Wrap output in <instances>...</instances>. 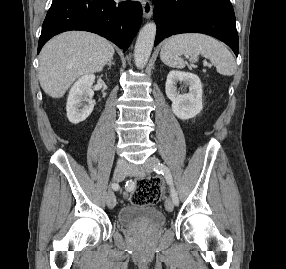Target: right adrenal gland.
Returning <instances> with one entry per match:
<instances>
[{
	"mask_svg": "<svg viewBox=\"0 0 286 269\" xmlns=\"http://www.w3.org/2000/svg\"><path fill=\"white\" fill-rule=\"evenodd\" d=\"M115 63H114V61H113V59H111L109 62H108V66H109V68L108 69H111V66L112 65H114Z\"/></svg>",
	"mask_w": 286,
	"mask_h": 269,
	"instance_id": "1",
	"label": "right adrenal gland"
}]
</instances>
